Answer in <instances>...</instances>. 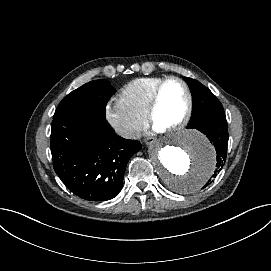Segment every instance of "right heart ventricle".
<instances>
[{
    "label": "right heart ventricle",
    "instance_id": "right-heart-ventricle-1",
    "mask_svg": "<svg viewBox=\"0 0 271 271\" xmlns=\"http://www.w3.org/2000/svg\"><path fill=\"white\" fill-rule=\"evenodd\" d=\"M166 76H145L136 78L120 91V97L134 113L147 118L153 90Z\"/></svg>",
    "mask_w": 271,
    "mask_h": 271
}]
</instances>
